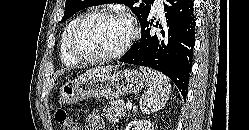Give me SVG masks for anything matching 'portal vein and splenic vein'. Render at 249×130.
Here are the masks:
<instances>
[{"mask_svg":"<svg viewBox=\"0 0 249 130\" xmlns=\"http://www.w3.org/2000/svg\"><path fill=\"white\" fill-rule=\"evenodd\" d=\"M126 108H127V109H132V104H131V103H127V104H126Z\"/></svg>","mask_w":249,"mask_h":130,"instance_id":"1","label":"portal vein and splenic vein"}]
</instances>
